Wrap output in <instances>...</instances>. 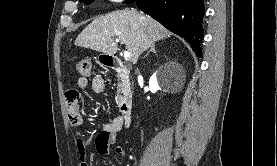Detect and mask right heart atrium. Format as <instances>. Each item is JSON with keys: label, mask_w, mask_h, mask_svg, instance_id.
Returning <instances> with one entry per match:
<instances>
[{"label": "right heart atrium", "mask_w": 277, "mask_h": 166, "mask_svg": "<svg viewBox=\"0 0 277 166\" xmlns=\"http://www.w3.org/2000/svg\"><path fill=\"white\" fill-rule=\"evenodd\" d=\"M108 1L113 2V3H121V2H123L124 0H108Z\"/></svg>", "instance_id": "right-heart-atrium-1"}]
</instances>
